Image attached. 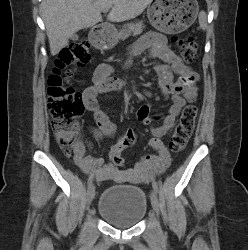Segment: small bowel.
Wrapping results in <instances>:
<instances>
[{
    "label": "small bowel",
    "instance_id": "small-bowel-1",
    "mask_svg": "<svg viewBox=\"0 0 248 250\" xmlns=\"http://www.w3.org/2000/svg\"><path fill=\"white\" fill-rule=\"evenodd\" d=\"M134 55L147 53L149 57L162 61L154 70L158 76V82L165 97L171 99V105L165 116L160 117L152 113V105L147 102L138 110V119L144 125H150L152 137L149 145L157 152L156 155H145L136 162L132 169L119 170L113 164H105L102 158H95L86 154V147L90 142L80 137L75 143V163L85 173L95 176L99 182L128 181L139 184L155 178L164 172L171 164V156L162 138L174 127L182 108L187 102L197 96L196 82L198 76L183 60L167 45V38L157 32L144 34L132 47ZM112 67L109 64L97 66L93 83L84 89L83 102L87 110L94 114L95 127L90 128V133L96 140L111 137L116 128L108 115L99 108L97 97L122 88L125 83L113 77ZM173 74H178L179 79L174 80ZM149 94V93H147ZM161 120L160 124L155 122ZM128 140L134 144L136 136L128 133Z\"/></svg>",
    "mask_w": 248,
    "mask_h": 250
}]
</instances>
